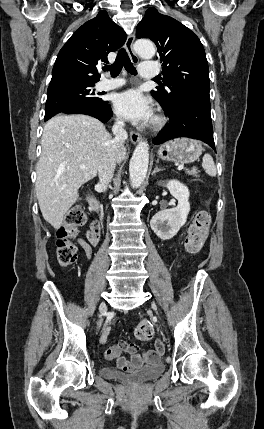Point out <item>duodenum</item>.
I'll return each mask as SVG.
<instances>
[{"mask_svg": "<svg viewBox=\"0 0 264 429\" xmlns=\"http://www.w3.org/2000/svg\"><path fill=\"white\" fill-rule=\"evenodd\" d=\"M87 200H88L90 208L93 211L99 213L100 212V203H99L98 199L92 193H89L87 195Z\"/></svg>", "mask_w": 264, "mask_h": 429, "instance_id": "410a0bca", "label": "duodenum"}]
</instances>
